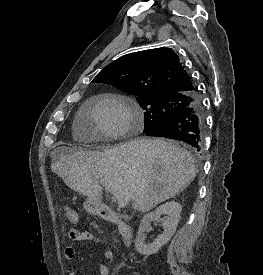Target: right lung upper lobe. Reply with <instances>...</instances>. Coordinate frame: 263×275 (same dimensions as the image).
Instances as JSON below:
<instances>
[{
	"mask_svg": "<svg viewBox=\"0 0 263 275\" xmlns=\"http://www.w3.org/2000/svg\"><path fill=\"white\" fill-rule=\"evenodd\" d=\"M92 82L112 84L136 96L184 94L193 97L197 94L178 55L171 48L122 56L103 68Z\"/></svg>",
	"mask_w": 263,
	"mask_h": 275,
	"instance_id": "right-lung-upper-lobe-1",
	"label": "right lung upper lobe"
}]
</instances>
